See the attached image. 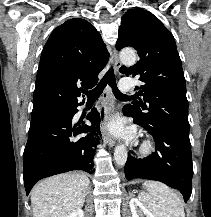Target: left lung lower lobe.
<instances>
[{
    "instance_id": "0a47b994",
    "label": "left lung lower lobe",
    "mask_w": 211,
    "mask_h": 217,
    "mask_svg": "<svg viewBox=\"0 0 211 217\" xmlns=\"http://www.w3.org/2000/svg\"><path fill=\"white\" fill-rule=\"evenodd\" d=\"M123 114L131 116L126 107L123 108ZM134 122L140 125L137 121ZM144 128L153 136L157 151L143 159H136L128 154L126 178L163 182L178 189L187 202L192 192L193 175L189 135L164 126Z\"/></svg>"
}]
</instances>
